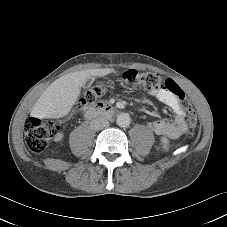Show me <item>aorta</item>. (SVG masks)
<instances>
[{"label": "aorta", "instance_id": "762f6f07", "mask_svg": "<svg viewBox=\"0 0 227 227\" xmlns=\"http://www.w3.org/2000/svg\"><path fill=\"white\" fill-rule=\"evenodd\" d=\"M116 123L120 127H127L131 123V119L129 114L127 113H122L117 116Z\"/></svg>", "mask_w": 227, "mask_h": 227}]
</instances>
